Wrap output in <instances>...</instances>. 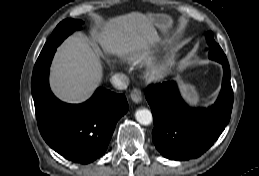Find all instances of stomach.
Returning a JSON list of instances; mask_svg holds the SVG:
<instances>
[{
	"label": "stomach",
	"mask_w": 259,
	"mask_h": 176,
	"mask_svg": "<svg viewBox=\"0 0 259 176\" xmlns=\"http://www.w3.org/2000/svg\"><path fill=\"white\" fill-rule=\"evenodd\" d=\"M150 20L161 30H166L170 26V19L166 15L162 14H150ZM182 91L186 99L191 104H196L199 101V96L192 85L183 84Z\"/></svg>",
	"instance_id": "obj_1"
}]
</instances>
